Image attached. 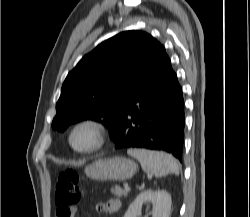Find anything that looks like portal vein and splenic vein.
I'll return each mask as SVG.
<instances>
[{
    "mask_svg": "<svg viewBox=\"0 0 250 217\" xmlns=\"http://www.w3.org/2000/svg\"><path fill=\"white\" fill-rule=\"evenodd\" d=\"M124 188H125L126 191H129V190H130V187H129L128 184H125V185H124Z\"/></svg>",
    "mask_w": 250,
    "mask_h": 217,
    "instance_id": "18ae733b",
    "label": "portal vein and splenic vein"
}]
</instances>
